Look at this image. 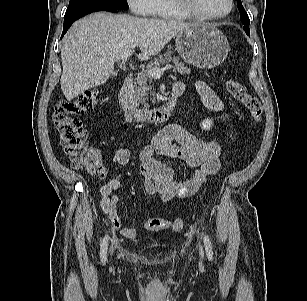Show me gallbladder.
I'll list each match as a JSON object with an SVG mask.
<instances>
[{
  "instance_id": "obj_1",
  "label": "gallbladder",
  "mask_w": 307,
  "mask_h": 301,
  "mask_svg": "<svg viewBox=\"0 0 307 301\" xmlns=\"http://www.w3.org/2000/svg\"><path fill=\"white\" fill-rule=\"evenodd\" d=\"M112 75H113V76H117V72H116V71L113 72Z\"/></svg>"
}]
</instances>
